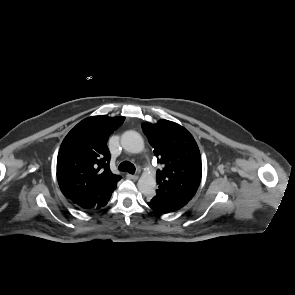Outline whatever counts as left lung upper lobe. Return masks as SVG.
<instances>
[{"label":"left lung upper lobe","mask_w":295,"mask_h":295,"mask_svg":"<svg viewBox=\"0 0 295 295\" xmlns=\"http://www.w3.org/2000/svg\"><path fill=\"white\" fill-rule=\"evenodd\" d=\"M142 128L163 166L157 170L158 190L191 200L202 175L201 155L193 136L168 120L144 123Z\"/></svg>","instance_id":"left-lung-upper-lobe-1"}]
</instances>
